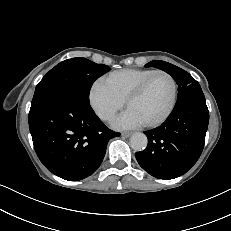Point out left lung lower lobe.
<instances>
[{
	"instance_id": "1",
	"label": "left lung lower lobe",
	"mask_w": 231,
	"mask_h": 231,
	"mask_svg": "<svg viewBox=\"0 0 231 231\" xmlns=\"http://www.w3.org/2000/svg\"><path fill=\"white\" fill-rule=\"evenodd\" d=\"M209 112L200 85L189 86L160 127L146 131L147 148L135 153L139 165L159 179H174L190 170L200 157Z\"/></svg>"
}]
</instances>
